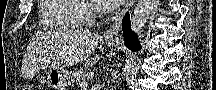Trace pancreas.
<instances>
[{"instance_id": "cf45deb5", "label": "pancreas", "mask_w": 216, "mask_h": 90, "mask_svg": "<svg viewBox=\"0 0 216 90\" xmlns=\"http://www.w3.org/2000/svg\"><path fill=\"white\" fill-rule=\"evenodd\" d=\"M86 74L83 72V70H76V72H73V76L71 78L73 84H78L80 80H85Z\"/></svg>"}]
</instances>
